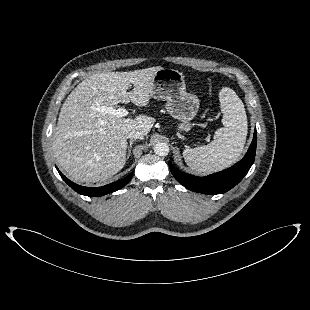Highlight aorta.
Listing matches in <instances>:
<instances>
[{
    "label": "aorta",
    "mask_w": 310,
    "mask_h": 310,
    "mask_svg": "<svg viewBox=\"0 0 310 310\" xmlns=\"http://www.w3.org/2000/svg\"><path fill=\"white\" fill-rule=\"evenodd\" d=\"M154 153L158 156H167L169 153V146L165 142H158L154 145Z\"/></svg>",
    "instance_id": "762f6f07"
}]
</instances>
